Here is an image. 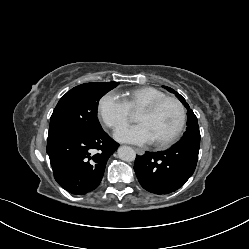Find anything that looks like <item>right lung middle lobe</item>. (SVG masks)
<instances>
[{"label":"right lung middle lobe","mask_w":249,"mask_h":249,"mask_svg":"<svg viewBox=\"0 0 249 249\" xmlns=\"http://www.w3.org/2000/svg\"><path fill=\"white\" fill-rule=\"evenodd\" d=\"M117 85L116 82H93L68 91L51 115L47 144L72 135L101 131L96 117L98 102Z\"/></svg>","instance_id":"obj_1"}]
</instances>
